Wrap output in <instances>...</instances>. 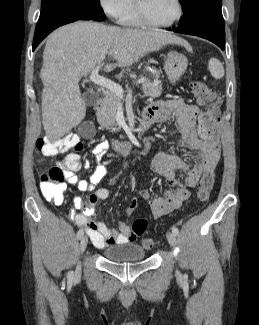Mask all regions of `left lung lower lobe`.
<instances>
[{
  "instance_id": "0a47b994",
  "label": "left lung lower lobe",
  "mask_w": 259,
  "mask_h": 325,
  "mask_svg": "<svg viewBox=\"0 0 259 325\" xmlns=\"http://www.w3.org/2000/svg\"><path fill=\"white\" fill-rule=\"evenodd\" d=\"M167 30L199 36L212 41L222 50L225 49V25L221 11H200L185 24H179L178 28H168Z\"/></svg>"
}]
</instances>
